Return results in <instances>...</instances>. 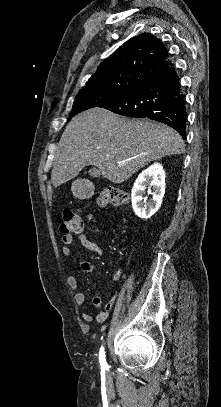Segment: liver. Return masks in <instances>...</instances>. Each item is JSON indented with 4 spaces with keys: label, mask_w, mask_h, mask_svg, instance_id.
<instances>
[{
    "label": "liver",
    "mask_w": 221,
    "mask_h": 407,
    "mask_svg": "<svg viewBox=\"0 0 221 407\" xmlns=\"http://www.w3.org/2000/svg\"><path fill=\"white\" fill-rule=\"evenodd\" d=\"M185 144L171 127L145 119H127L93 108L73 117L58 143L51 181L55 188L87 165L120 184L151 161L180 155Z\"/></svg>",
    "instance_id": "1"
}]
</instances>
